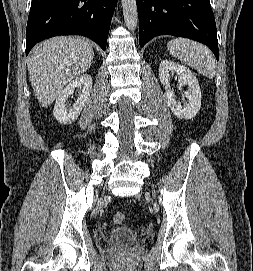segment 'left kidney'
Segmentation results:
<instances>
[{
  "label": "left kidney",
  "mask_w": 253,
  "mask_h": 271,
  "mask_svg": "<svg viewBox=\"0 0 253 271\" xmlns=\"http://www.w3.org/2000/svg\"><path fill=\"white\" fill-rule=\"evenodd\" d=\"M176 73L180 85H187L188 89L185 92L188 102L181 105L175 99L173 91L165 92V100L171 111L179 119H192L196 116L201 108V90L195 75L185 66L175 63L170 60H163L159 67V79L163 85L170 84V74Z\"/></svg>",
  "instance_id": "5707ae66"
}]
</instances>
